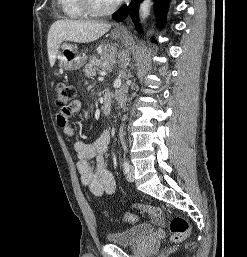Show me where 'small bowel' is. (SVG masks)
Masks as SVG:
<instances>
[{
    "label": "small bowel",
    "mask_w": 247,
    "mask_h": 257,
    "mask_svg": "<svg viewBox=\"0 0 247 257\" xmlns=\"http://www.w3.org/2000/svg\"><path fill=\"white\" fill-rule=\"evenodd\" d=\"M81 102L75 100L71 103L67 111H59L57 122L63 128L67 136L74 134V128L69 123L72 114L78 112ZM111 142V133L104 130L93 143H86L76 140L73 144L77 157V171L80 174L81 182L88 187L95 196L113 194L116 190V180L112 172L105 166L103 154L106 152ZM96 161V168L93 169L91 161Z\"/></svg>",
    "instance_id": "small-bowel-1"
}]
</instances>
